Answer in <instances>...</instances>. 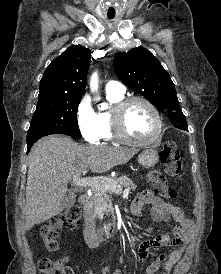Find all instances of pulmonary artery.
Listing matches in <instances>:
<instances>
[{
	"label": "pulmonary artery",
	"instance_id": "obj_1",
	"mask_svg": "<svg viewBox=\"0 0 221 274\" xmlns=\"http://www.w3.org/2000/svg\"><path fill=\"white\" fill-rule=\"evenodd\" d=\"M106 92L124 94L125 86L118 81L111 80L106 84Z\"/></svg>",
	"mask_w": 221,
	"mask_h": 274
}]
</instances>
